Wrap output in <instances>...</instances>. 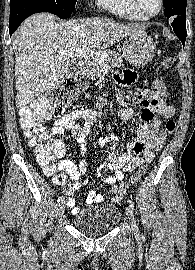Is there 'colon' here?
Masks as SVG:
<instances>
[{"label":"colon","instance_id":"colon-1","mask_svg":"<svg viewBox=\"0 0 195 270\" xmlns=\"http://www.w3.org/2000/svg\"><path fill=\"white\" fill-rule=\"evenodd\" d=\"M175 59L167 57L163 61L165 68L171 69ZM85 87V81L80 77H74L66 80L59 86L54 87L40 98L24 107L20 112V126L28 145L33 148L36 158L43 166L45 172L54 175L60 169L58 160L64 153V145L59 140H54L51 135L43 128L42 122L45 119L61 116L71 102L80 94ZM153 97L157 101H166L168 92L165 83L162 80L153 82ZM176 127L174 119H169L164 124L160 138L166 140ZM145 164L141 165L132 175L128 182L122 183L117 188L119 194L124 193L132 184L138 182L144 172ZM66 177L63 174H57L54 181L58 185L66 183Z\"/></svg>","mask_w":195,"mask_h":270}]
</instances>
